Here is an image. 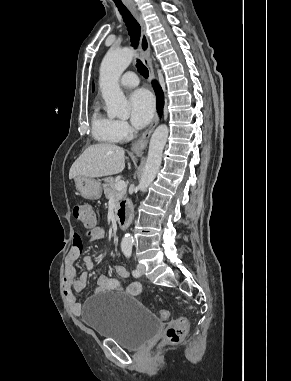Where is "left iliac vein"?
<instances>
[{
    "instance_id": "obj_1",
    "label": "left iliac vein",
    "mask_w": 291,
    "mask_h": 381,
    "mask_svg": "<svg viewBox=\"0 0 291 381\" xmlns=\"http://www.w3.org/2000/svg\"><path fill=\"white\" fill-rule=\"evenodd\" d=\"M137 270L139 271V273L142 275L144 274L145 272V266L143 264H138L137 265Z\"/></svg>"
}]
</instances>
